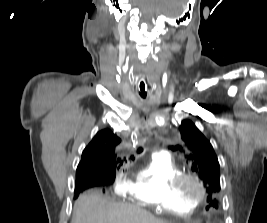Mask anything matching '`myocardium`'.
Here are the masks:
<instances>
[{
  "label": "myocardium",
  "mask_w": 267,
  "mask_h": 223,
  "mask_svg": "<svg viewBox=\"0 0 267 223\" xmlns=\"http://www.w3.org/2000/svg\"><path fill=\"white\" fill-rule=\"evenodd\" d=\"M191 186L197 188L196 193L192 191ZM172 188L179 197L196 205L207 196V188L204 182L192 173H183L175 178L172 182Z\"/></svg>",
  "instance_id": "myocardium-1"
}]
</instances>
